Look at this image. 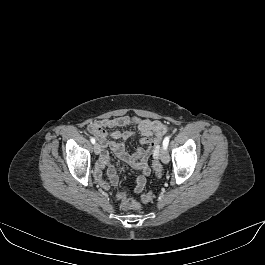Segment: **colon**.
<instances>
[{
    "mask_svg": "<svg viewBox=\"0 0 265 265\" xmlns=\"http://www.w3.org/2000/svg\"><path fill=\"white\" fill-rule=\"evenodd\" d=\"M152 167L154 169V172L157 177H160L162 175V165L158 160V157L156 156ZM118 200L120 201V205L123 209L129 210V209H138L140 207L139 203L135 201L132 198H129L126 193H120L118 195ZM153 200V194L151 192L146 193L142 196V202L145 204L151 203Z\"/></svg>",
    "mask_w": 265,
    "mask_h": 265,
    "instance_id": "5ec220e1",
    "label": "colon"
}]
</instances>
